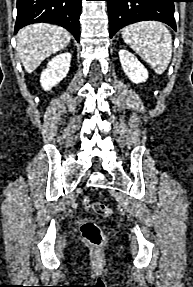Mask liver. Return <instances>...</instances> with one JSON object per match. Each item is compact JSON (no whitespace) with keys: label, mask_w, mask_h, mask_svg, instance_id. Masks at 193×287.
<instances>
[{"label":"liver","mask_w":193,"mask_h":287,"mask_svg":"<svg viewBox=\"0 0 193 287\" xmlns=\"http://www.w3.org/2000/svg\"><path fill=\"white\" fill-rule=\"evenodd\" d=\"M20 60L28 73L42 61L67 47L71 34L64 28L47 23H37L22 28L16 35Z\"/></svg>","instance_id":"liver-1"}]
</instances>
